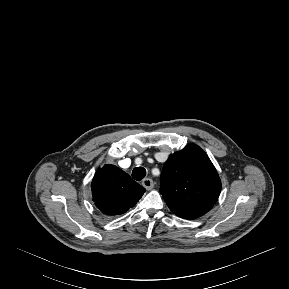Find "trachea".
Instances as JSON below:
<instances>
[{"mask_svg":"<svg viewBox=\"0 0 289 289\" xmlns=\"http://www.w3.org/2000/svg\"><path fill=\"white\" fill-rule=\"evenodd\" d=\"M146 175V170L143 167H136L132 171V177L136 181H141Z\"/></svg>","mask_w":289,"mask_h":289,"instance_id":"1","label":"trachea"}]
</instances>
